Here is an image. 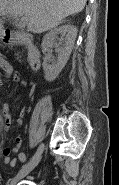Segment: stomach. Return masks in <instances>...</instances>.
Listing matches in <instances>:
<instances>
[{"mask_svg":"<svg viewBox=\"0 0 119 185\" xmlns=\"http://www.w3.org/2000/svg\"><path fill=\"white\" fill-rule=\"evenodd\" d=\"M4 38V33L2 30H0V39H3Z\"/></svg>","mask_w":119,"mask_h":185,"instance_id":"1","label":"stomach"}]
</instances>
